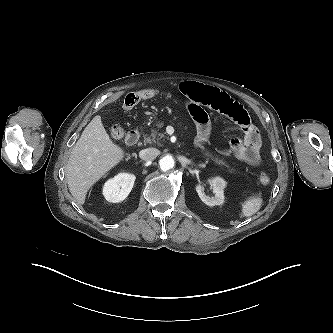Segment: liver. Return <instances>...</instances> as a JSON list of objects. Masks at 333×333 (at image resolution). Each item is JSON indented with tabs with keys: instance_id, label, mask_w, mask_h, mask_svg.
<instances>
[{
	"instance_id": "1",
	"label": "liver",
	"mask_w": 333,
	"mask_h": 333,
	"mask_svg": "<svg viewBox=\"0 0 333 333\" xmlns=\"http://www.w3.org/2000/svg\"><path fill=\"white\" fill-rule=\"evenodd\" d=\"M124 154L110 139L101 117L95 116L73 147L66 166L69 191L78 204H84L90 187L115 167Z\"/></svg>"
}]
</instances>
